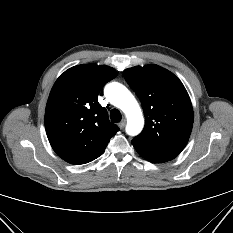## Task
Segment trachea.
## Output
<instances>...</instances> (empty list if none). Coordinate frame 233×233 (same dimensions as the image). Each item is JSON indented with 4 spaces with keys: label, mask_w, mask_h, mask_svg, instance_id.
<instances>
[{
    "label": "trachea",
    "mask_w": 233,
    "mask_h": 233,
    "mask_svg": "<svg viewBox=\"0 0 233 233\" xmlns=\"http://www.w3.org/2000/svg\"><path fill=\"white\" fill-rule=\"evenodd\" d=\"M110 118H111V121L114 122V123L120 122L121 119H122L120 111L117 110V109H112L110 111Z\"/></svg>",
    "instance_id": "obj_1"
}]
</instances>
